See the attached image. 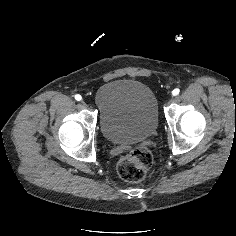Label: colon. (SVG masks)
Returning <instances> with one entry per match:
<instances>
[{"mask_svg": "<svg viewBox=\"0 0 236 236\" xmlns=\"http://www.w3.org/2000/svg\"><path fill=\"white\" fill-rule=\"evenodd\" d=\"M152 161V154L148 149L137 148L118 161L117 172L127 182H140L147 175Z\"/></svg>", "mask_w": 236, "mask_h": 236, "instance_id": "obj_1", "label": "colon"}]
</instances>
